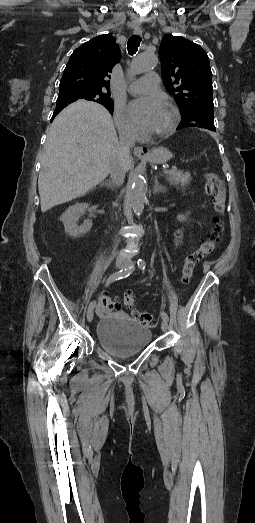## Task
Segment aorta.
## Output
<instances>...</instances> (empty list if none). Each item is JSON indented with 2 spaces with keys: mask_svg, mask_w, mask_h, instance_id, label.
I'll use <instances>...</instances> for the list:
<instances>
[{
  "mask_svg": "<svg viewBox=\"0 0 255 523\" xmlns=\"http://www.w3.org/2000/svg\"><path fill=\"white\" fill-rule=\"evenodd\" d=\"M158 64V57L152 53H142L131 63L130 72L133 75L141 74L155 68ZM133 210L136 215H141L146 200V183L140 173H135L132 179L130 191Z\"/></svg>",
  "mask_w": 255,
  "mask_h": 523,
  "instance_id": "aorta-1",
  "label": "aorta"
}]
</instances>
